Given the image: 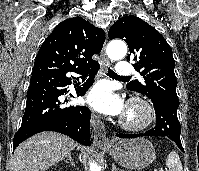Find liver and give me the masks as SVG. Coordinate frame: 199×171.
<instances>
[{"mask_svg":"<svg viewBox=\"0 0 199 171\" xmlns=\"http://www.w3.org/2000/svg\"><path fill=\"white\" fill-rule=\"evenodd\" d=\"M77 146L60 133L42 132L21 143L11 160L12 171H46Z\"/></svg>","mask_w":199,"mask_h":171,"instance_id":"obj_1","label":"liver"}]
</instances>
